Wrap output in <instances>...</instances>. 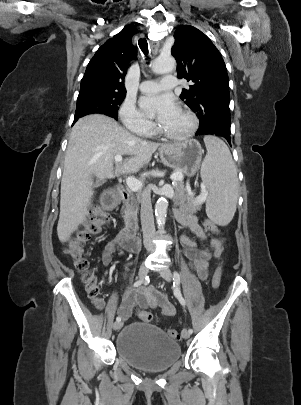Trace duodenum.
Here are the masks:
<instances>
[{
  "label": "duodenum",
  "mask_w": 301,
  "mask_h": 405,
  "mask_svg": "<svg viewBox=\"0 0 301 405\" xmlns=\"http://www.w3.org/2000/svg\"><path fill=\"white\" fill-rule=\"evenodd\" d=\"M122 202L127 206L125 227L120 231L122 245L127 251L137 252L140 250V241L137 236V222L132 215V195L129 189L120 186L118 190H105L98 204L103 213H114Z\"/></svg>",
  "instance_id": "1"
}]
</instances>
